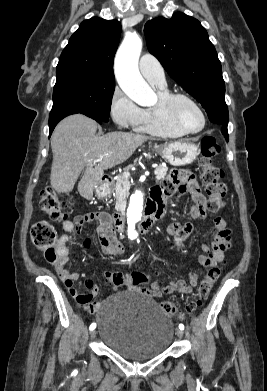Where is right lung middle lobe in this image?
I'll list each match as a JSON object with an SVG mask.
<instances>
[{"label": "right lung middle lobe", "instance_id": "dd1d6c3e", "mask_svg": "<svg viewBox=\"0 0 267 391\" xmlns=\"http://www.w3.org/2000/svg\"><path fill=\"white\" fill-rule=\"evenodd\" d=\"M115 78L90 73L57 77L49 121L67 113H82L108 122Z\"/></svg>", "mask_w": 267, "mask_h": 391}]
</instances>
